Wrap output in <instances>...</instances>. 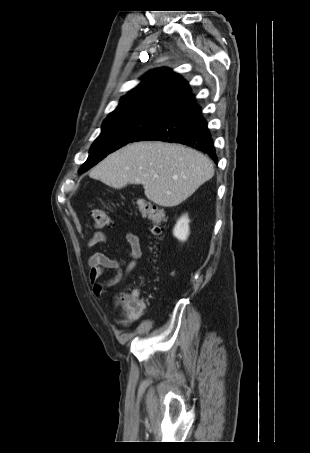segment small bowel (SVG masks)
I'll return each instance as SVG.
<instances>
[{"label":"small bowel","mask_w":310,"mask_h":453,"mask_svg":"<svg viewBox=\"0 0 310 453\" xmlns=\"http://www.w3.org/2000/svg\"><path fill=\"white\" fill-rule=\"evenodd\" d=\"M126 240L129 245L130 260L120 261L107 256L104 253L96 252L89 257L90 265L89 280L92 284V292L96 297H100L106 287L113 286L117 283L124 282L127 276L135 269L136 265L142 257V249L139 236L134 231H129L126 234ZM107 236L103 232H95L88 240L87 247H94L98 244H106ZM105 271H114L115 274L108 281H101V277ZM138 317L120 315L116 319V323L122 327H126L138 320Z\"/></svg>","instance_id":"small-bowel-1"}]
</instances>
